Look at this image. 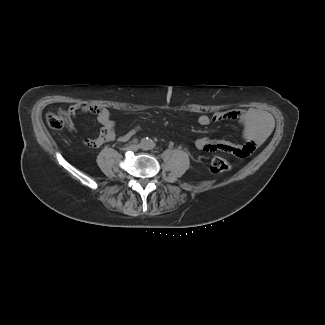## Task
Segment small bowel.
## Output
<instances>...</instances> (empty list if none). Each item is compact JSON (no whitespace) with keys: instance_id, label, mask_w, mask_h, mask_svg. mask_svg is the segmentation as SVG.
I'll return each instance as SVG.
<instances>
[{"instance_id":"1","label":"small bowel","mask_w":325,"mask_h":325,"mask_svg":"<svg viewBox=\"0 0 325 325\" xmlns=\"http://www.w3.org/2000/svg\"><path fill=\"white\" fill-rule=\"evenodd\" d=\"M82 113H92L96 115L101 125V130L96 138H85L83 144L89 148H98L107 142L120 141L127 142L137 133L138 127H134L126 133L118 136L115 130V123L112 120L107 108L85 103L71 105L64 115L69 120L70 128L74 127L73 118ZM222 120H237L242 128V144H236L228 140H216L207 137L199 138L195 141L198 149L204 151H223L234 154L238 157H247L256 150L268 137L273 127L272 117L260 109L251 110H229L217 112L212 116L201 115L198 123L201 126H208L212 122Z\"/></svg>"}]
</instances>
